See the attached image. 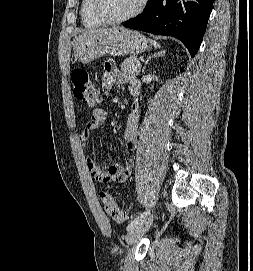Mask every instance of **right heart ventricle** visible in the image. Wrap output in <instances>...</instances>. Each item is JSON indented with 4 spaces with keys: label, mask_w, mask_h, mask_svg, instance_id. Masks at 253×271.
Wrapping results in <instances>:
<instances>
[{
    "label": "right heart ventricle",
    "mask_w": 253,
    "mask_h": 271,
    "mask_svg": "<svg viewBox=\"0 0 253 271\" xmlns=\"http://www.w3.org/2000/svg\"><path fill=\"white\" fill-rule=\"evenodd\" d=\"M80 16L85 28L95 29L102 26V23L94 14L93 0H82L80 7Z\"/></svg>",
    "instance_id": "1"
}]
</instances>
